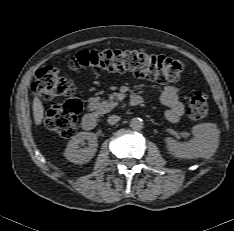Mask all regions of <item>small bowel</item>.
<instances>
[{
	"mask_svg": "<svg viewBox=\"0 0 234 231\" xmlns=\"http://www.w3.org/2000/svg\"><path fill=\"white\" fill-rule=\"evenodd\" d=\"M161 100L168 107L165 116L171 123H177L184 112V105L180 100V88L176 85H166L161 91Z\"/></svg>",
	"mask_w": 234,
	"mask_h": 231,
	"instance_id": "obj_1",
	"label": "small bowel"
}]
</instances>
